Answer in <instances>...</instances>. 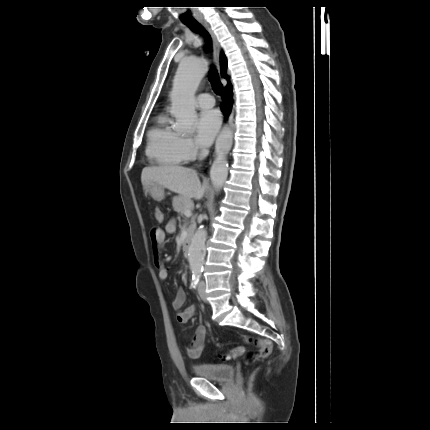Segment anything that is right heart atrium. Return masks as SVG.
<instances>
[{"label": "right heart atrium", "instance_id": "1", "mask_svg": "<svg viewBox=\"0 0 430 430\" xmlns=\"http://www.w3.org/2000/svg\"><path fill=\"white\" fill-rule=\"evenodd\" d=\"M179 147L186 160L193 159L200 151L197 144L190 137L187 136L180 137Z\"/></svg>", "mask_w": 430, "mask_h": 430}]
</instances>
